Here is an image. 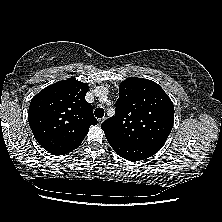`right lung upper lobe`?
<instances>
[{"instance_id": "cb5924a9", "label": "right lung upper lobe", "mask_w": 222, "mask_h": 222, "mask_svg": "<svg viewBox=\"0 0 222 222\" xmlns=\"http://www.w3.org/2000/svg\"><path fill=\"white\" fill-rule=\"evenodd\" d=\"M87 83L71 77L56 82L35 95L28 122L34 138L49 153L65 155L78 148L97 120L85 100Z\"/></svg>"}]
</instances>
